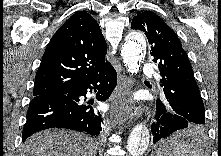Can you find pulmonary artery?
Listing matches in <instances>:
<instances>
[{"mask_svg":"<svg viewBox=\"0 0 221 156\" xmlns=\"http://www.w3.org/2000/svg\"><path fill=\"white\" fill-rule=\"evenodd\" d=\"M143 73L145 75H149V74H152L153 73V68L150 64H145L144 67H143Z\"/></svg>","mask_w":221,"mask_h":156,"instance_id":"obj_1","label":"pulmonary artery"}]
</instances>
